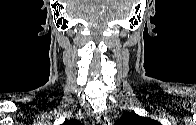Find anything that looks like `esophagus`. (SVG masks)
<instances>
[{
  "mask_svg": "<svg viewBox=\"0 0 196 125\" xmlns=\"http://www.w3.org/2000/svg\"><path fill=\"white\" fill-rule=\"evenodd\" d=\"M96 122L100 125H110L109 119L105 114L98 115Z\"/></svg>",
  "mask_w": 196,
  "mask_h": 125,
  "instance_id": "1",
  "label": "esophagus"
}]
</instances>
